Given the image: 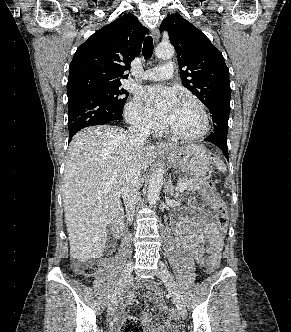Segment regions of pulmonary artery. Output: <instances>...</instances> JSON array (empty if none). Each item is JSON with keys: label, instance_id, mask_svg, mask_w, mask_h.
I'll list each match as a JSON object with an SVG mask.
<instances>
[{"label": "pulmonary artery", "instance_id": "obj_1", "mask_svg": "<svg viewBox=\"0 0 291 332\" xmlns=\"http://www.w3.org/2000/svg\"><path fill=\"white\" fill-rule=\"evenodd\" d=\"M173 74H174V63L168 61L162 65L146 70L142 75V79L159 81V80L169 79L173 76Z\"/></svg>", "mask_w": 291, "mask_h": 332}]
</instances>
